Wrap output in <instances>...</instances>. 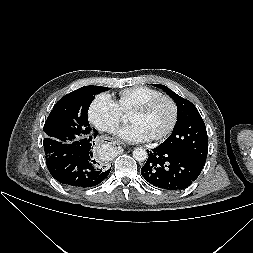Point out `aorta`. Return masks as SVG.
<instances>
[{
	"mask_svg": "<svg viewBox=\"0 0 253 253\" xmlns=\"http://www.w3.org/2000/svg\"><path fill=\"white\" fill-rule=\"evenodd\" d=\"M133 157L138 162H143L147 159L148 154L145 149L138 147L133 151Z\"/></svg>",
	"mask_w": 253,
	"mask_h": 253,
	"instance_id": "762f6f07",
	"label": "aorta"
}]
</instances>
